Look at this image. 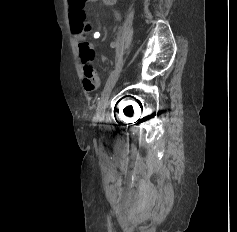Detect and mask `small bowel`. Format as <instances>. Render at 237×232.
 I'll return each mask as SVG.
<instances>
[{"label":"small bowel","mask_w":237,"mask_h":232,"mask_svg":"<svg viewBox=\"0 0 237 232\" xmlns=\"http://www.w3.org/2000/svg\"><path fill=\"white\" fill-rule=\"evenodd\" d=\"M97 2L98 0H87ZM80 58L83 66V86L87 91L95 90L99 85V79L93 65L94 48L85 40V35H76Z\"/></svg>","instance_id":"1"}]
</instances>
